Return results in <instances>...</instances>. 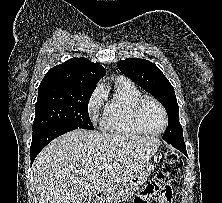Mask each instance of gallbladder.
Instances as JSON below:
<instances>
[{"label":"gallbladder","instance_id":"1","mask_svg":"<svg viewBox=\"0 0 222 203\" xmlns=\"http://www.w3.org/2000/svg\"><path fill=\"white\" fill-rule=\"evenodd\" d=\"M81 203H91V199L85 198L81 201Z\"/></svg>","mask_w":222,"mask_h":203}]
</instances>
